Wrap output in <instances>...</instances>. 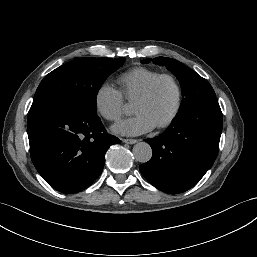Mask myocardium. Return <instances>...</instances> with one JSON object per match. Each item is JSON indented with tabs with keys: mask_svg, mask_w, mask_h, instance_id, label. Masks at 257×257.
<instances>
[{
	"mask_svg": "<svg viewBox=\"0 0 257 257\" xmlns=\"http://www.w3.org/2000/svg\"><path fill=\"white\" fill-rule=\"evenodd\" d=\"M163 79H168L173 83L176 90V103L171 115L165 121L158 124L156 126L157 129H164L169 127L171 124L174 123V121L178 118L180 114V111L182 109V104H183V90L179 80L174 75L169 73L159 74L157 77H155L146 85V87L141 91V93L134 100V102H137V101H142L147 99L151 95V93L153 92L157 84Z\"/></svg>",
	"mask_w": 257,
	"mask_h": 257,
	"instance_id": "f54148a6",
	"label": "myocardium"
}]
</instances>
